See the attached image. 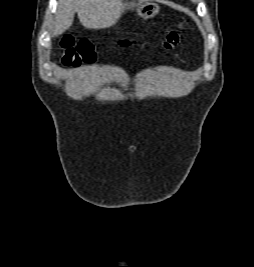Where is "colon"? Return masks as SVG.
I'll list each match as a JSON object with an SVG mask.
<instances>
[{"label": "colon", "mask_w": 254, "mask_h": 267, "mask_svg": "<svg viewBox=\"0 0 254 267\" xmlns=\"http://www.w3.org/2000/svg\"><path fill=\"white\" fill-rule=\"evenodd\" d=\"M180 37L176 31L166 35L164 46L173 49L179 43ZM124 44H128L124 42ZM62 62L66 66H78L81 63H91L96 58L93 44L88 40L75 41L71 35H66L61 40Z\"/></svg>", "instance_id": "1"}]
</instances>
